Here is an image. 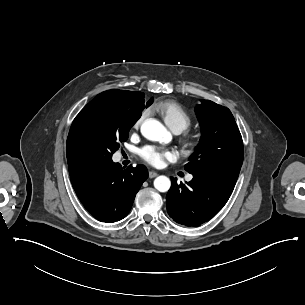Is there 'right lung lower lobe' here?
I'll use <instances>...</instances> for the list:
<instances>
[{
    "mask_svg": "<svg viewBox=\"0 0 305 305\" xmlns=\"http://www.w3.org/2000/svg\"><path fill=\"white\" fill-rule=\"evenodd\" d=\"M72 186L84 207L97 220L112 223L127 216L137 192L148 178L145 166L123 170L117 163L69 168Z\"/></svg>",
    "mask_w": 305,
    "mask_h": 305,
    "instance_id": "obj_1",
    "label": "right lung lower lobe"
}]
</instances>
